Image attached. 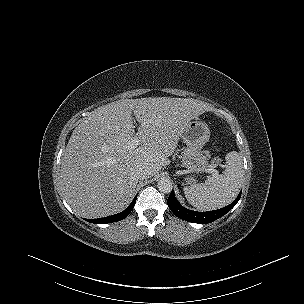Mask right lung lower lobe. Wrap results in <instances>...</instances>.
<instances>
[{
  "mask_svg": "<svg viewBox=\"0 0 304 304\" xmlns=\"http://www.w3.org/2000/svg\"><path fill=\"white\" fill-rule=\"evenodd\" d=\"M136 199H137V195L133 199L132 203L128 206V208H126L123 212H121L119 214L112 215L109 217L99 218V219H86V221L95 223V224H98V223L106 224V223L120 221V220L124 219L125 217H127L129 215V213L132 211V209L135 205Z\"/></svg>",
  "mask_w": 304,
  "mask_h": 304,
  "instance_id": "98d812e1",
  "label": "right lung lower lobe"
}]
</instances>
